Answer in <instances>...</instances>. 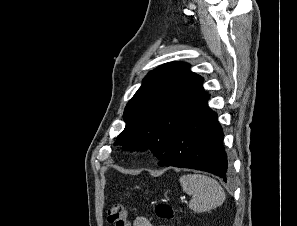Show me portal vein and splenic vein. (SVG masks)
<instances>
[{
    "label": "portal vein and splenic vein",
    "instance_id": "1",
    "mask_svg": "<svg viewBox=\"0 0 297 226\" xmlns=\"http://www.w3.org/2000/svg\"><path fill=\"white\" fill-rule=\"evenodd\" d=\"M181 201L184 202L185 200L182 198Z\"/></svg>",
    "mask_w": 297,
    "mask_h": 226
}]
</instances>
